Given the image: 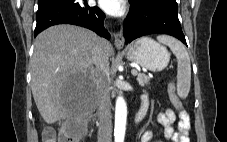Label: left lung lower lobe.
Masks as SVG:
<instances>
[{
	"mask_svg": "<svg viewBox=\"0 0 227 142\" xmlns=\"http://www.w3.org/2000/svg\"><path fill=\"white\" fill-rule=\"evenodd\" d=\"M177 12V6L157 0L141 6L131 5L123 28L126 42L130 43L144 35L160 33L174 36L186 44Z\"/></svg>",
	"mask_w": 227,
	"mask_h": 142,
	"instance_id": "left-lung-lower-lobe-1",
	"label": "left lung lower lobe"
}]
</instances>
